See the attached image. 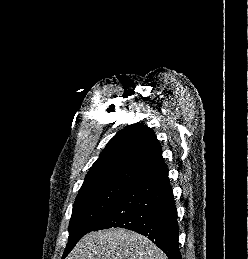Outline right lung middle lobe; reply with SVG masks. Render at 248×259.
Wrapping results in <instances>:
<instances>
[{
	"label": "right lung middle lobe",
	"instance_id": "dd1d6c3e",
	"mask_svg": "<svg viewBox=\"0 0 248 259\" xmlns=\"http://www.w3.org/2000/svg\"><path fill=\"white\" fill-rule=\"evenodd\" d=\"M132 184L110 181L81 187L73 205L68 244L63 258L75 244L111 209Z\"/></svg>",
	"mask_w": 248,
	"mask_h": 259
}]
</instances>
